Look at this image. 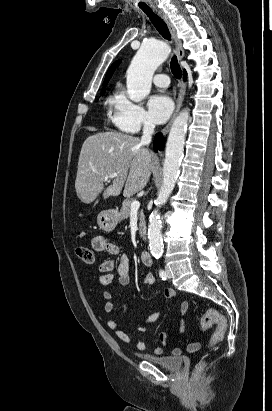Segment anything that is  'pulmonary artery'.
<instances>
[{
	"label": "pulmonary artery",
	"instance_id": "pulmonary-artery-1",
	"mask_svg": "<svg viewBox=\"0 0 272 411\" xmlns=\"http://www.w3.org/2000/svg\"><path fill=\"white\" fill-rule=\"evenodd\" d=\"M153 82L157 87L166 88L170 81L166 74L160 73L154 76Z\"/></svg>",
	"mask_w": 272,
	"mask_h": 411
}]
</instances>
